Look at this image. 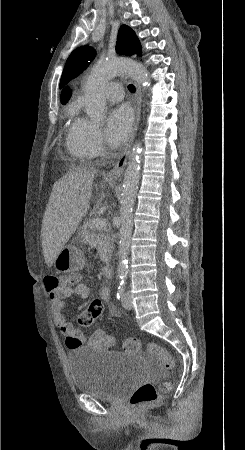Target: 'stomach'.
I'll return each mask as SVG.
<instances>
[{
    "instance_id": "obj_1",
    "label": "stomach",
    "mask_w": 245,
    "mask_h": 450,
    "mask_svg": "<svg viewBox=\"0 0 245 450\" xmlns=\"http://www.w3.org/2000/svg\"><path fill=\"white\" fill-rule=\"evenodd\" d=\"M53 264L58 272H74L84 267L85 257L80 247L68 245L58 254Z\"/></svg>"
}]
</instances>
